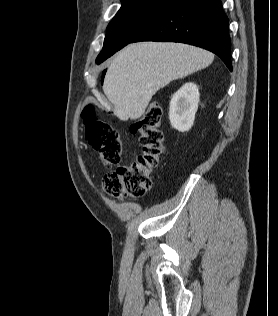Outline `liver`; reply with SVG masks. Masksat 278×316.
I'll return each instance as SVG.
<instances>
[{"label":"liver","mask_w":278,"mask_h":316,"mask_svg":"<svg viewBox=\"0 0 278 316\" xmlns=\"http://www.w3.org/2000/svg\"><path fill=\"white\" fill-rule=\"evenodd\" d=\"M213 60L209 51L181 43L130 44L113 57L103 91L116 117L135 120L160 88L208 67Z\"/></svg>","instance_id":"6515ba94"}]
</instances>
